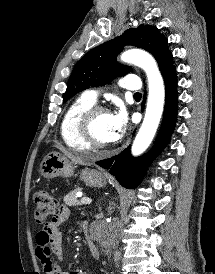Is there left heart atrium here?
Returning <instances> with one entry per match:
<instances>
[{
	"label": "left heart atrium",
	"mask_w": 215,
	"mask_h": 274,
	"mask_svg": "<svg viewBox=\"0 0 215 274\" xmlns=\"http://www.w3.org/2000/svg\"><path fill=\"white\" fill-rule=\"evenodd\" d=\"M127 125V115L123 108L110 114V127L112 131V141L119 139Z\"/></svg>",
	"instance_id": "1"
}]
</instances>
